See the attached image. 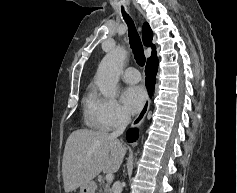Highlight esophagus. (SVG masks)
Masks as SVG:
<instances>
[{
    "mask_svg": "<svg viewBox=\"0 0 237 193\" xmlns=\"http://www.w3.org/2000/svg\"><path fill=\"white\" fill-rule=\"evenodd\" d=\"M149 107H150V97L147 96L145 98V102H144L140 112L138 113V115L136 116L134 121L132 122L131 128H135V127L139 126L143 122V120L145 119L146 114H147V112L149 110Z\"/></svg>",
    "mask_w": 237,
    "mask_h": 193,
    "instance_id": "1",
    "label": "esophagus"
}]
</instances>
